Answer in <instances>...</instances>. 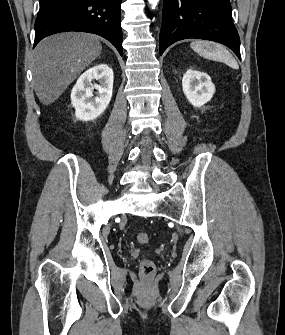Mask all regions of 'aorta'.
Segmentation results:
<instances>
[{
    "mask_svg": "<svg viewBox=\"0 0 285 335\" xmlns=\"http://www.w3.org/2000/svg\"><path fill=\"white\" fill-rule=\"evenodd\" d=\"M149 4H151V8L152 10H154V8H156L159 0H148Z\"/></svg>",
    "mask_w": 285,
    "mask_h": 335,
    "instance_id": "1",
    "label": "aorta"
}]
</instances>
